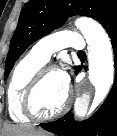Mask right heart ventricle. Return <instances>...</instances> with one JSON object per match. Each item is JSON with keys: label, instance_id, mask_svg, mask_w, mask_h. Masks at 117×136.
Wrapping results in <instances>:
<instances>
[{"label": "right heart ventricle", "instance_id": "1", "mask_svg": "<svg viewBox=\"0 0 117 136\" xmlns=\"http://www.w3.org/2000/svg\"><path fill=\"white\" fill-rule=\"evenodd\" d=\"M45 63L32 52H29L13 69L7 87V108L12 120L17 122L29 121V117L22 111L23 95L35 73Z\"/></svg>", "mask_w": 117, "mask_h": 136}]
</instances>
